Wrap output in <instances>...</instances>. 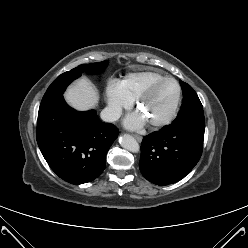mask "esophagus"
<instances>
[{
  "mask_svg": "<svg viewBox=\"0 0 248 248\" xmlns=\"http://www.w3.org/2000/svg\"><path fill=\"white\" fill-rule=\"evenodd\" d=\"M133 137L136 138L138 141L142 140V137L137 134H133Z\"/></svg>",
  "mask_w": 248,
  "mask_h": 248,
  "instance_id": "34e87169",
  "label": "esophagus"
}]
</instances>
